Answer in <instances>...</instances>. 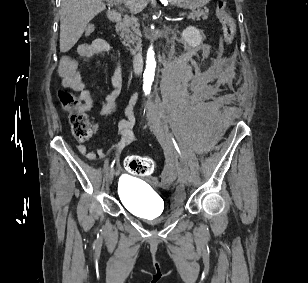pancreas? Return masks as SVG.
<instances>
[{"mask_svg":"<svg viewBox=\"0 0 308 283\" xmlns=\"http://www.w3.org/2000/svg\"><path fill=\"white\" fill-rule=\"evenodd\" d=\"M208 9L194 11L189 14L188 18L192 20H200L208 18ZM116 31L120 32V37L124 41L123 45L129 47L131 53H136L141 49V41L138 36L139 34V24L138 19L134 16L125 15L122 22L118 23L116 26Z\"/></svg>","mask_w":308,"mask_h":283,"instance_id":"1","label":"pancreas"}]
</instances>
